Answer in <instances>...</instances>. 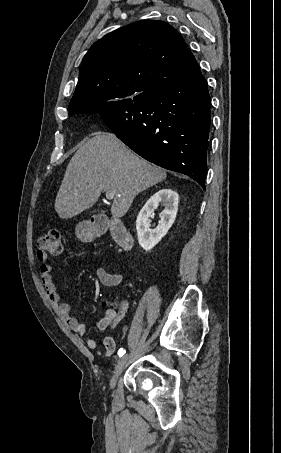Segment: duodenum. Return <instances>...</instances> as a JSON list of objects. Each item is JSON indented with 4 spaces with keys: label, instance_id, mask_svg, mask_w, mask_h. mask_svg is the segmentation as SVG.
<instances>
[{
    "label": "duodenum",
    "instance_id": "1",
    "mask_svg": "<svg viewBox=\"0 0 281 453\" xmlns=\"http://www.w3.org/2000/svg\"><path fill=\"white\" fill-rule=\"evenodd\" d=\"M110 232L113 239L124 249H130L132 238L125 226L118 220L107 221L102 218L96 219L90 228L92 236L97 237Z\"/></svg>",
    "mask_w": 281,
    "mask_h": 453
}]
</instances>
